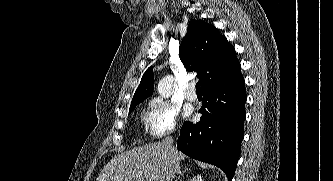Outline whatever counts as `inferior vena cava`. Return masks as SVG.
I'll use <instances>...</instances> for the list:
<instances>
[{"mask_svg": "<svg viewBox=\"0 0 333 181\" xmlns=\"http://www.w3.org/2000/svg\"><path fill=\"white\" fill-rule=\"evenodd\" d=\"M172 143H173V138L171 136H167L164 140V146L168 149L172 148ZM178 171V168L175 170V173ZM170 181H172V179H169Z\"/></svg>", "mask_w": 333, "mask_h": 181, "instance_id": "1", "label": "inferior vena cava"}]
</instances>
